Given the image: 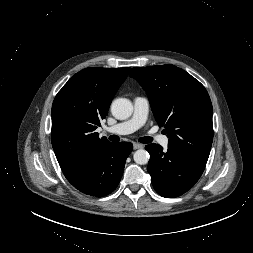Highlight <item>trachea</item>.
Here are the masks:
<instances>
[{
	"label": "trachea",
	"mask_w": 253,
	"mask_h": 253,
	"mask_svg": "<svg viewBox=\"0 0 253 253\" xmlns=\"http://www.w3.org/2000/svg\"><path fill=\"white\" fill-rule=\"evenodd\" d=\"M109 140L117 142V141H119V137L116 135H112L109 137ZM139 142L140 143H150V142H152V138L151 137H141V138H139Z\"/></svg>",
	"instance_id": "trachea-1"
}]
</instances>
